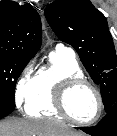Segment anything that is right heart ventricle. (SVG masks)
<instances>
[{"mask_svg": "<svg viewBox=\"0 0 117 136\" xmlns=\"http://www.w3.org/2000/svg\"><path fill=\"white\" fill-rule=\"evenodd\" d=\"M72 76L83 77L75 56L55 50L50 61L35 75L33 93L25 103V113L35 118H60L54 107V93L64 79Z\"/></svg>", "mask_w": 117, "mask_h": 136, "instance_id": "right-heart-ventricle-1", "label": "right heart ventricle"}]
</instances>
